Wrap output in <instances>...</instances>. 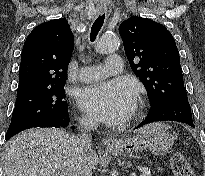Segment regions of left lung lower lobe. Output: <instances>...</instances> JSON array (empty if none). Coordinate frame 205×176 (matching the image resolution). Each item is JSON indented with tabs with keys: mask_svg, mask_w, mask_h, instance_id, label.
Masks as SVG:
<instances>
[{
	"mask_svg": "<svg viewBox=\"0 0 205 176\" xmlns=\"http://www.w3.org/2000/svg\"><path fill=\"white\" fill-rule=\"evenodd\" d=\"M168 120L183 122L195 128L192 120L191 107L187 99V93L178 94L174 99L164 104L151 106L146 119L137 127H141L151 122Z\"/></svg>",
	"mask_w": 205,
	"mask_h": 176,
	"instance_id": "1",
	"label": "left lung lower lobe"
}]
</instances>
